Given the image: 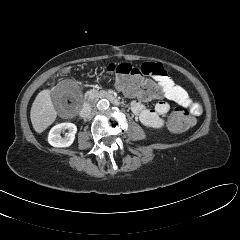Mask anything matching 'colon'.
<instances>
[{"mask_svg": "<svg viewBox=\"0 0 240 240\" xmlns=\"http://www.w3.org/2000/svg\"><path fill=\"white\" fill-rule=\"evenodd\" d=\"M106 70L115 76L118 87L129 96L143 100H153L162 97L161 86L147 78L140 67L129 63H110ZM194 123L189 111L184 107L176 108L169 117V128L174 132H183Z\"/></svg>", "mask_w": 240, "mask_h": 240, "instance_id": "1", "label": "colon"}]
</instances>
